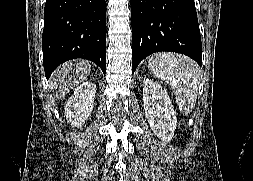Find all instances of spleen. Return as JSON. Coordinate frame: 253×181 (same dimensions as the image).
Returning a JSON list of instances; mask_svg holds the SVG:
<instances>
[{
  "label": "spleen",
  "instance_id": "spleen-1",
  "mask_svg": "<svg viewBox=\"0 0 253 181\" xmlns=\"http://www.w3.org/2000/svg\"><path fill=\"white\" fill-rule=\"evenodd\" d=\"M151 73L170 84L182 113L187 114L197 98L200 68L190 58L174 53H158L148 61Z\"/></svg>",
  "mask_w": 253,
  "mask_h": 181
}]
</instances>
